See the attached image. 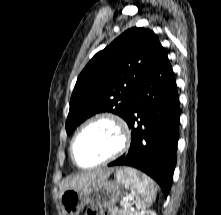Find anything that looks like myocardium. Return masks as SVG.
I'll list each match as a JSON object with an SVG mask.
<instances>
[{
  "label": "myocardium",
  "instance_id": "obj_1",
  "mask_svg": "<svg viewBox=\"0 0 221 215\" xmlns=\"http://www.w3.org/2000/svg\"><path fill=\"white\" fill-rule=\"evenodd\" d=\"M98 122L110 123L117 129V131L119 133V137H120L119 145L114 152H112L110 155H108L106 158L100 160L99 162L92 164V165H88V166L81 165L78 163L76 156H75V152H74L75 142H76L77 138L79 137V135L86 128H88L89 126H91L95 123H98ZM130 142H131V131H130V128H129L128 124L126 123V121L120 115H118L114 112L104 111V112H100V113L90 117L89 119H87L75 131V133L71 139V142H70L69 152H70L72 162L77 167L82 168V169H92V168L104 165L106 163H109V162L115 160L116 158L120 157L121 155H123L128 150V148L130 146Z\"/></svg>",
  "mask_w": 221,
  "mask_h": 215
}]
</instances>
